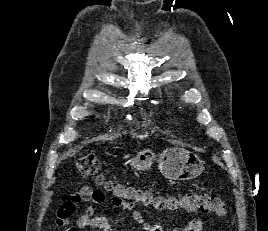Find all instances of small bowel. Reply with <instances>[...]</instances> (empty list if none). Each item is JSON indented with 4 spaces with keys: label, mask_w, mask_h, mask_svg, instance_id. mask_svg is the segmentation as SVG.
I'll return each instance as SVG.
<instances>
[{
    "label": "small bowel",
    "mask_w": 268,
    "mask_h": 231,
    "mask_svg": "<svg viewBox=\"0 0 268 231\" xmlns=\"http://www.w3.org/2000/svg\"><path fill=\"white\" fill-rule=\"evenodd\" d=\"M85 191L86 194L81 195ZM86 202L88 205L83 213L76 212V205ZM106 202V197L101 189L83 187L79 193L72 195L57 210L55 223L57 226L65 228L66 231H79L82 229H99L100 231H114L109 219L99 213L101 206ZM115 208H120L114 203ZM131 212L132 219L144 231H164L160 222H150L143 214L130 206L127 209ZM203 224L200 220H192L185 227H175L171 231H202Z\"/></svg>",
    "instance_id": "small-bowel-1"
}]
</instances>
